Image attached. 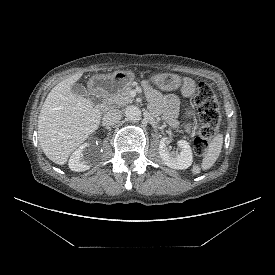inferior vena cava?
I'll list each match as a JSON object with an SVG mask.
<instances>
[{
  "label": "inferior vena cava",
  "instance_id": "602c4592",
  "mask_svg": "<svg viewBox=\"0 0 275 275\" xmlns=\"http://www.w3.org/2000/svg\"><path fill=\"white\" fill-rule=\"evenodd\" d=\"M122 112L119 109H111L103 116V123L107 126L115 125L120 121Z\"/></svg>",
  "mask_w": 275,
  "mask_h": 275
}]
</instances>
